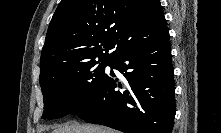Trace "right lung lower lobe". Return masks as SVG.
<instances>
[{"instance_id":"right-lung-lower-lobe-1","label":"right lung lower lobe","mask_w":221,"mask_h":133,"mask_svg":"<svg viewBox=\"0 0 221 133\" xmlns=\"http://www.w3.org/2000/svg\"><path fill=\"white\" fill-rule=\"evenodd\" d=\"M112 68L126 78L125 90L115 91L121 84L109 77L76 115L125 133H171L176 103L169 36L124 52Z\"/></svg>"}]
</instances>
